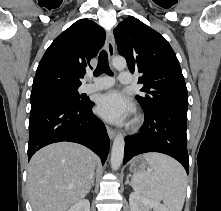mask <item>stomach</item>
Wrapping results in <instances>:
<instances>
[{
	"label": "stomach",
	"mask_w": 221,
	"mask_h": 211,
	"mask_svg": "<svg viewBox=\"0 0 221 211\" xmlns=\"http://www.w3.org/2000/svg\"><path fill=\"white\" fill-rule=\"evenodd\" d=\"M148 163L146 162V160L142 157H136L134 158L131 163H130V172L132 173H138V172H143L146 171V169L148 168Z\"/></svg>",
	"instance_id": "1"
}]
</instances>
